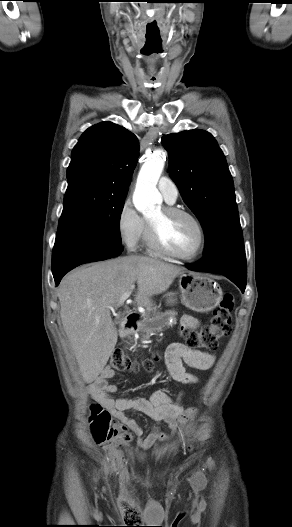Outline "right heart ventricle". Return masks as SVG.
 Masks as SVG:
<instances>
[{
	"label": "right heart ventricle",
	"instance_id": "right-heart-ventricle-1",
	"mask_svg": "<svg viewBox=\"0 0 292 527\" xmlns=\"http://www.w3.org/2000/svg\"><path fill=\"white\" fill-rule=\"evenodd\" d=\"M142 239H143V242H144L145 246L150 247L149 246V242H148L147 226L146 225H145V229H144V232H143V235H142Z\"/></svg>",
	"mask_w": 292,
	"mask_h": 527
}]
</instances>
